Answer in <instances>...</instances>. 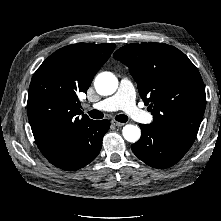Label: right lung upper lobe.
Segmentation results:
<instances>
[{"mask_svg":"<svg viewBox=\"0 0 221 221\" xmlns=\"http://www.w3.org/2000/svg\"><path fill=\"white\" fill-rule=\"evenodd\" d=\"M115 44L77 43L50 55L36 70L29 87L27 112L36 144L44 156L71 146L93 122L79 109L94 75Z\"/></svg>","mask_w":221,"mask_h":221,"instance_id":"obj_1","label":"right lung upper lobe"}]
</instances>
